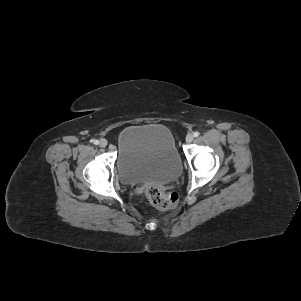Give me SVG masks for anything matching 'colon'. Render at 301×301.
I'll return each instance as SVG.
<instances>
[{"mask_svg":"<svg viewBox=\"0 0 301 301\" xmlns=\"http://www.w3.org/2000/svg\"><path fill=\"white\" fill-rule=\"evenodd\" d=\"M149 202L160 211L174 208L179 199L177 192H164L156 186H149L145 191Z\"/></svg>","mask_w":301,"mask_h":301,"instance_id":"colon-1","label":"colon"}]
</instances>
